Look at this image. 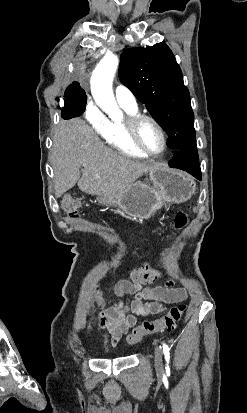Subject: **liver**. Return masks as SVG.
<instances>
[{"mask_svg": "<svg viewBox=\"0 0 247 413\" xmlns=\"http://www.w3.org/2000/svg\"><path fill=\"white\" fill-rule=\"evenodd\" d=\"M51 160L56 198L76 182L88 194H118L155 166L106 146L82 118L59 122L53 136ZM81 166H84L82 176Z\"/></svg>", "mask_w": 247, "mask_h": 413, "instance_id": "obj_1", "label": "liver"}]
</instances>
